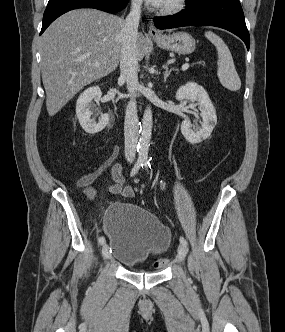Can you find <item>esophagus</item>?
I'll use <instances>...</instances> for the list:
<instances>
[{
    "label": "esophagus",
    "mask_w": 285,
    "mask_h": 332,
    "mask_svg": "<svg viewBox=\"0 0 285 332\" xmlns=\"http://www.w3.org/2000/svg\"><path fill=\"white\" fill-rule=\"evenodd\" d=\"M148 32H149L150 37H152V38H157V37L161 36L160 31L153 25L152 22H150Z\"/></svg>",
    "instance_id": "34e87169"
}]
</instances>
